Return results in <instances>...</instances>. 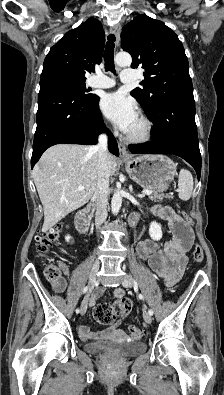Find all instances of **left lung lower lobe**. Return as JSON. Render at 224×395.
I'll list each match as a JSON object with an SVG mask.
<instances>
[{
    "mask_svg": "<svg viewBox=\"0 0 224 395\" xmlns=\"http://www.w3.org/2000/svg\"><path fill=\"white\" fill-rule=\"evenodd\" d=\"M154 127L153 140L145 145H130L131 153L174 154L182 157L201 174V155L195 123V101L181 98L168 101L147 114Z\"/></svg>",
    "mask_w": 224,
    "mask_h": 395,
    "instance_id": "1",
    "label": "left lung lower lobe"
}]
</instances>
